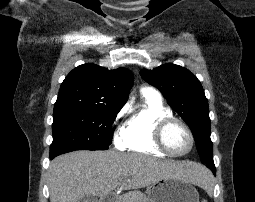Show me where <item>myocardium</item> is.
Returning <instances> with one entry per match:
<instances>
[{
    "label": "myocardium",
    "instance_id": "f54148a6",
    "mask_svg": "<svg viewBox=\"0 0 255 202\" xmlns=\"http://www.w3.org/2000/svg\"><path fill=\"white\" fill-rule=\"evenodd\" d=\"M173 124H178L180 126H182L185 131L187 132L189 139H190V146L188 148V150H186L185 152H174L172 151L168 145L166 144L165 141V133L167 131V129L172 126ZM154 142L157 145V147L163 151L164 153H166L167 155L170 156H175V157H180V156H184L187 155L188 153H190L194 147L195 144V139H194V135L192 133V130L190 129V127L181 119H178L176 117H166L161 119L155 126L154 129Z\"/></svg>",
    "mask_w": 255,
    "mask_h": 202
}]
</instances>
